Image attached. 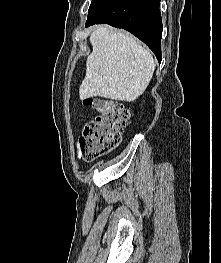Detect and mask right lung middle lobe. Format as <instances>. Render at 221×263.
Returning <instances> with one entry per match:
<instances>
[{
    "instance_id": "1",
    "label": "right lung middle lobe",
    "mask_w": 221,
    "mask_h": 263,
    "mask_svg": "<svg viewBox=\"0 0 221 263\" xmlns=\"http://www.w3.org/2000/svg\"><path fill=\"white\" fill-rule=\"evenodd\" d=\"M111 0H92L88 10V19L94 17Z\"/></svg>"
}]
</instances>
